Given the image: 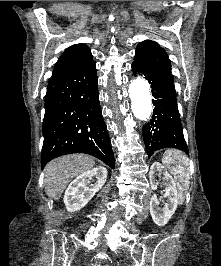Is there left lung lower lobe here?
Returning a JSON list of instances; mask_svg holds the SVG:
<instances>
[{
	"instance_id": "left-lung-lower-lobe-1",
	"label": "left lung lower lobe",
	"mask_w": 221,
	"mask_h": 266,
	"mask_svg": "<svg viewBox=\"0 0 221 266\" xmlns=\"http://www.w3.org/2000/svg\"><path fill=\"white\" fill-rule=\"evenodd\" d=\"M132 70L135 75L145 76L151 84L154 97L152 119L142 129L148 157L154 151L167 147L189 154L178 111L173 75L142 67L135 61L132 63Z\"/></svg>"
}]
</instances>
